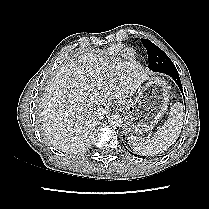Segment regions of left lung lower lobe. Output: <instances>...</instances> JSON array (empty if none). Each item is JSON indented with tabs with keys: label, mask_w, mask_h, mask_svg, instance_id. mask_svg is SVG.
<instances>
[{
	"label": "left lung lower lobe",
	"mask_w": 209,
	"mask_h": 209,
	"mask_svg": "<svg viewBox=\"0 0 209 209\" xmlns=\"http://www.w3.org/2000/svg\"><path fill=\"white\" fill-rule=\"evenodd\" d=\"M162 73L169 75L171 78H173V80L176 82V84L178 85V87L180 88V90L183 93L181 81H180L179 74H178V71L176 70V68L164 70V71H162Z\"/></svg>",
	"instance_id": "1"
}]
</instances>
